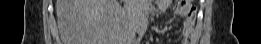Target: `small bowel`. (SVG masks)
Segmentation results:
<instances>
[{"label":"small bowel","instance_id":"1","mask_svg":"<svg viewBox=\"0 0 261 44\" xmlns=\"http://www.w3.org/2000/svg\"><path fill=\"white\" fill-rule=\"evenodd\" d=\"M153 4L159 12H165L170 8L172 2L170 0H157ZM149 6L150 3L148 2H139L137 10L144 9L147 12L149 11ZM175 13L183 17L181 42L183 44H191L195 32V11L191 6H186L185 8L177 7Z\"/></svg>","mask_w":261,"mask_h":44}]
</instances>
